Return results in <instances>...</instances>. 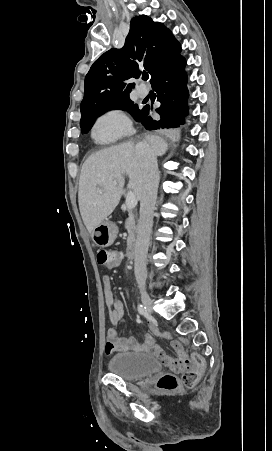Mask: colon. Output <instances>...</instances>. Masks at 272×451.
<instances>
[{
	"label": "colon",
	"mask_w": 272,
	"mask_h": 451,
	"mask_svg": "<svg viewBox=\"0 0 272 451\" xmlns=\"http://www.w3.org/2000/svg\"><path fill=\"white\" fill-rule=\"evenodd\" d=\"M95 259L103 266H118L122 259V253L119 251L102 250L96 254ZM178 344H173L176 349ZM158 358L164 367H173V373L163 374L157 381V387L162 391H172L179 388V381L175 374H184L183 384L186 387L193 385L196 381V374H204L205 358H193V356L183 355L178 352L176 358H170L164 354H159Z\"/></svg>",
	"instance_id": "5ec220e1"
}]
</instances>
